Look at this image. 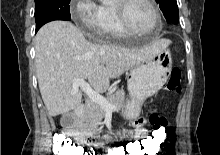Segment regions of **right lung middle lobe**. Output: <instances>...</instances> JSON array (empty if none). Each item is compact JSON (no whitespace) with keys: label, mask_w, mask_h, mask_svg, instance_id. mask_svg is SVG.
<instances>
[{"label":"right lung middle lobe","mask_w":220,"mask_h":155,"mask_svg":"<svg viewBox=\"0 0 220 155\" xmlns=\"http://www.w3.org/2000/svg\"><path fill=\"white\" fill-rule=\"evenodd\" d=\"M70 0H35L36 28L53 20H70Z\"/></svg>","instance_id":"right-lung-middle-lobe-1"}]
</instances>
